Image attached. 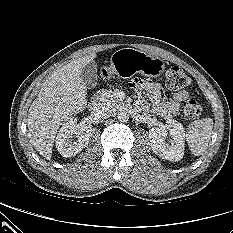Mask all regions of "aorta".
Segmentation results:
<instances>
[{
    "label": "aorta",
    "instance_id": "obj_1",
    "mask_svg": "<svg viewBox=\"0 0 233 233\" xmlns=\"http://www.w3.org/2000/svg\"><path fill=\"white\" fill-rule=\"evenodd\" d=\"M117 118L120 122H127L129 120V114L127 111L121 110L118 113Z\"/></svg>",
    "mask_w": 233,
    "mask_h": 233
}]
</instances>
